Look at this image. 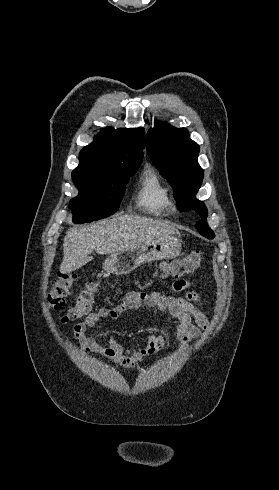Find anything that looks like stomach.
Returning <instances> with one entry per match:
<instances>
[{"label": "stomach", "mask_w": 279, "mask_h": 490, "mask_svg": "<svg viewBox=\"0 0 279 490\" xmlns=\"http://www.w3.org/2000/svg\"><path fill=\"white\" fill-rule=\"evenodd\" d=\"M182 250L181 240L175 236L168 238H154L151 242H144L136 248H126L122 252L111 254L103 264V270L115 274V276H125L136 270L141 264H149L155 260H173L178 258Z\"/></svg>", "instance_id": "stomach-1"}]
</instances>
